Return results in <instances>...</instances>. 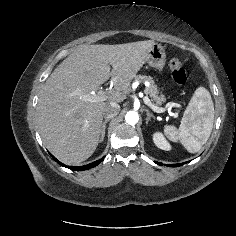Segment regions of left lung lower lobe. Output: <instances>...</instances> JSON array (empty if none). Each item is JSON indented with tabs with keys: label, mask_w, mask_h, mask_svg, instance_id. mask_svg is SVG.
I'll list each match as a JSON object with an SVG mask.
<instances>
[{
	"label": "left lung lower lobe",
	"mask_w": 236,
	"mask_h": 236,
	"mask_svg": "<svg viewBox=\"0 0 236 236\" xmlns=\"http://www.w3.org/2000/svg\"><path fill=\"white\" fill-rule=\"evenodd\" d=\"M157 164H159V165H163L162 163H160V162H156ZM184 163H179V164H168L167 166L168 167H177V166H181V165H183Z\"/></svg>",
	"instance_id": "1"
}]
</instances>
